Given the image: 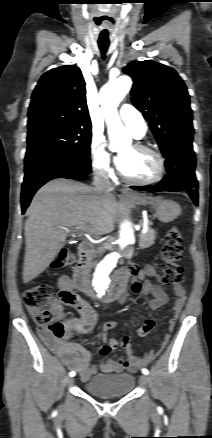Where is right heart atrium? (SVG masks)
<instances>
[{"mask_svg":"<svg viewBox=\"0 0 212 438\" xmlns=\"http://www.w3.org/2000/svg\"><path fill=\"white\" fill-rule=\"evenodd\" d=\"M90 160L93 171L101 177L113 174L112 158L101 137H93L90 142Z\"/></svg>","mask_w":212,"mask_h":438,"instance_id":"1","label":"right heart atrium"}]
</instances>
